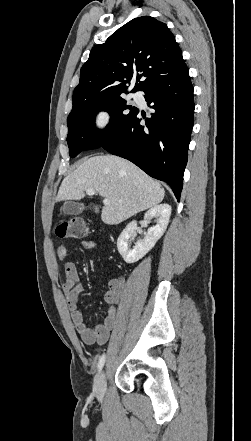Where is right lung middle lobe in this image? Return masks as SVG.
Returning a JSON list of instances; mask_svg holds the SVG:
<instances>
[{
	"mask_svg": "<svg viewBox=\"0 0 251 441\" xmlns=\"http://www.w3.org/2000/svg\"><path fill=\"white\" fill-rule=\"evenodd\" d=\"M137 110L122 96L73 103V109L67 118L70 156L74 158L81 151L103 146L128 124ZM99 111H107L111 116L109 124L103 130L95 126V116Z\"/></svg>",
	"mask_w": 251,
	"mask_h": 441,
	"instance_id": "dd1d6c3e",
	"label": "right lung middle lobe"
}]
</instances>
